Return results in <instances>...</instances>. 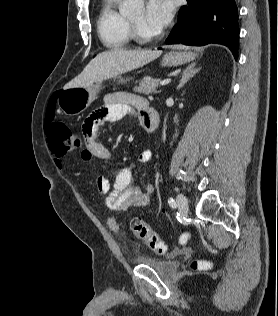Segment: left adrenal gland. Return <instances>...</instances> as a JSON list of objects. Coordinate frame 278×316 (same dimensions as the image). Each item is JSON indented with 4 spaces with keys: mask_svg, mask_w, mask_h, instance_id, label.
Masks as SVG:
<instances>
[{
    "mask_svg": "<svg viewBox=\"0 0 278 316\" xmlns=\"http://www.w3.org/2000/svg\"><path fill=\"white\" fill-rule=\"evenodd\" d=\"M196 63L190 64L182 73L181 80L177 86V90L184 86L185 83L200 70V68H195Z\"/></svg>",
    "mask_w": 278,
    "mask_h": 316,
    "instance_id": "obj_1",
    "label": "left adrenal gland"
}]
</instances>
